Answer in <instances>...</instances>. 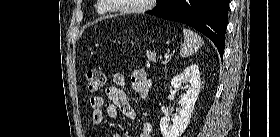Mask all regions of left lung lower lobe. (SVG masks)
Listing matches in <instances>:
<instances>
[{
  "mask_svg": "<svg viewBox=\"0 0 280 137\" xmlns=\"http://www.w3.org/2000/svg\"><path fill=\"white\" fill-rule=\"evenodd\" d=\"M229 0H163L149 15L184 23L208 37L223 57Z\"/></svg>",
  "mask_w": 280,
  "mask_h": 137,
  "instance_id": "obj_1",
  "label": "left lung lower lobe"
}]
</instances>
